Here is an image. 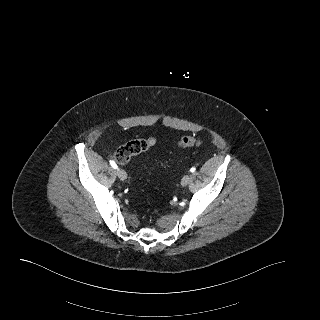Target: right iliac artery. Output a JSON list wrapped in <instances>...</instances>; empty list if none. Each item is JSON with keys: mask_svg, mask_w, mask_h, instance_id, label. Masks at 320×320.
<instances>
[{"mask_svg": "<svg viewBox=\"0 0 320 320\" xmlns=\"http://www.w3.org/2000/svg\"><path fill=\"white\" fill-rule=\"evenodd\" d=\"M110 165H111L114 169H117V168H118L117 164H116L115 161H113V160L110 161Z\"/></svg>", "mask_w": 320, "mask_h": 320, "instance_id": "right-iliac-artery-1", "label": "right iliac artery"}]
</instances>
